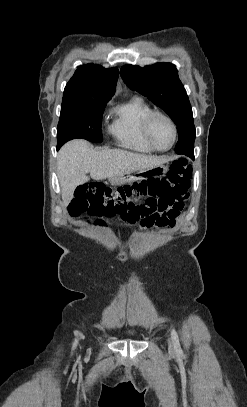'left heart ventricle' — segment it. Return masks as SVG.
Listing matches in <instances>:
<instances>
[{
	"mask_svg": "<svg viewBox=\"0 0 247 407\" xmlns=\"http://www.w3.org/2000/svg\"><path fill=\"white\" fill-rule=\"evenodd\" d=\"M150 134L156 146L161 149L169 147L173 140V129L170 123L162 117L153 119Z\"/></svg>",
	"mask_w": 247,
	"mask_h": 407,
	"instance_id": "obj_1",
	"label": "left heart ventricle"
}]
</instances>
